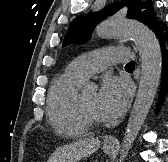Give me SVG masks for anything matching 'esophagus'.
I'll return each mask as SVG.
<instances>
[{
  "instance_id": "esophagus-1",
  "label": "esophagus",
  "mask_w": 168,
  "mask_h": 162,
  "mask_svg": "<svg viewBox=\"0 0 168 162\" xmlns=\"http://www.w3.org/2000/svg\"><path fill=\"white\" fill-rule=\"evenodd\" d=\"M105 143L106 144H115V143H117V140L114 137H107L105 139Z\"/></svg>"
}]
</instances>
